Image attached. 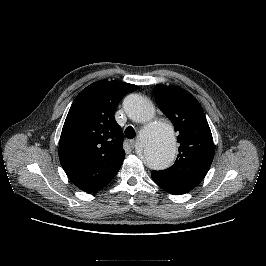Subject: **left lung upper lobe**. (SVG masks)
Segmentation results:
<instances>
[{
  "label": "left lung upper lobe",
  "instance_id": "obj_1",
  "mask_svg": "<svg viewBox=\"0 0 266 266\" xmlns=\"http://www.w3.org/2000/svg\"><path fill=\"white\" fill-rule=\"evenodd\" d=\"M155 94L179 134L180 147L170 168L154 172L192 190L203 180L214 158L213 138L204 111L195 97L180 87L156 85Z\"/></svg>",
  "mask_w": 266,
  "mask_h": 266
}]
</instances>
